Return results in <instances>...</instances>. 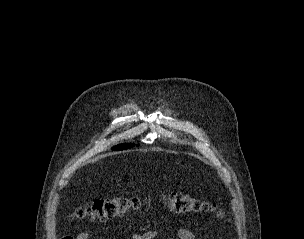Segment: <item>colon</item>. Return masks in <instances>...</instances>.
Returning <instances> with one entry per match:
<instances>
[{"label":"colon","instance_id":"1","mask_svg":"<svg viewBox=\"0 0 304 239\" xmlns=\"http://www.w3.org/2000/svg\"><path fill=\"white\" fill-rule=\"evenodd\" d=\"M165 200L169 209L176 213L216 212L219 217L223 216L222 212L217 210L213 204L201 201L188 194L169 193L165 196ZM141 205L142 201L136 197H108L94 200L77 208L73 213V217L106 221L122 217L131 211L139 209Z\"/></svg>","mask_w":304,"mask_h":239}]
</instances>
